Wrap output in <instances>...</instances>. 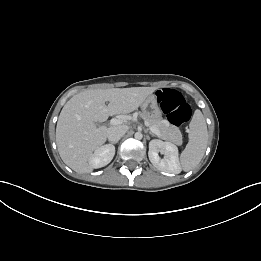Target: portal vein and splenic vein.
<instances>
[{
	"mask_svg": "<svg viewBox=\"0 0 261 261\" xmlns=\"http://www.w3.org/2000/svg\"><path fill=\"white\" fill-rule=\"evenodd\" d=\"M122 122H123L122 119H119V118H113V119L110 120V124H111V125H119V124H121ZM150 130H151L154 134L159 135V130H158L157 128L150 126Z\"/></svg>",
	"mask_w": 261,
	"mask_h": 261,
	"instance_id": "18ae733b",
	"label": "portal vein and splenic vein"
}]
</instances>
